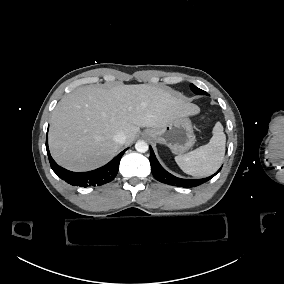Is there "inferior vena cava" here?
<instances>
[{"mask_svg":"<svg viewBox=\"0 0 284 284\" xmlns=\"http://www.w3.org/2000/svg\"><path fill=\"white\" fill-rule=\"evenodd\" d=\"M113 140H114L116 143L124 144L125 141H126V136H125L124 133L119 132V133H117L116 135H114Z\"/></svg>","mask_w":284,"mask_h":284,"instance_id":"602c4592","label":"inferior vena cava"}]
</instances>
